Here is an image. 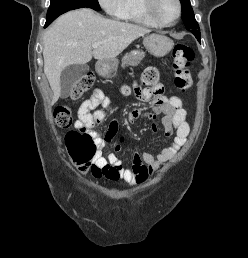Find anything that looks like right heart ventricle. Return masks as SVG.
Wrapping results in <instances>:
<instances>
[{
	"label": "right heart ventricle",
	"instance_id": "right-heart-ventricle-1",
	"mask_svg": "<svg viewBox=\"0 0 248 258\" xmlns=\"http://www.w3.org/2000/svg\"><path fill=\"white\" fill-rule=\"evenodd\" d=\"M120 19L150 27L156 26L145 13L144 0H125L124 11Z\"/></svg>",
	"mask_w": 248,
	"mask_h": 258
}]
</instances>
